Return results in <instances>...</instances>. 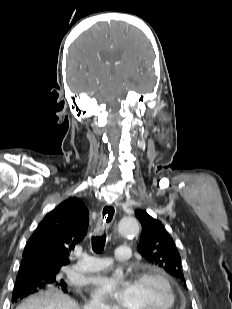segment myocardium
<instances>
[{"label": "myocardium", "instance_id": "myocardium-1", "mask_svg": "<svg viewBox=\"0 0 232 309\" xmlns=\"http://www.w3.org/2000/svg\"><path fill=\"white\" fill-rule=\"evenodd\" d=\"M145 279H156L161 282L165 286L169 297L168 304L164 307V309H175L177 305V294L169 278L157 269H145L139 271L135 275L134 282H139Z\"/></svg>", "mask_w": 232, "mask_h": 309}]
</instances>
